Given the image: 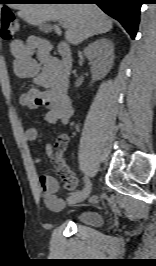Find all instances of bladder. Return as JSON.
<instances>
[{
    "instance_id": "31cf9c89",
    "label": "bladder",
    "mask_w": 156,
    "mask_h": 266,
    "mask_svg": "<svg viewBox=\"0 0 156 266\" xmlns=\"http://www.w3.org/2000/svg\"><path fill=\"white\" fill-rule=\"evenodd\" d=\"M73 220L80 224H85L89 226H98L102 217L99 212L91 209H85L78 211L74 216Z\"/></svg>"
}]
</instances>
